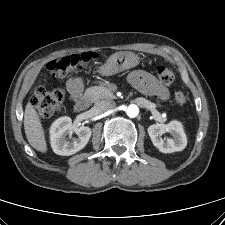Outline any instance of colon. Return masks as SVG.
<instances>
[{
	"label": "colon",
	"instance_id": "1",
	"mask_svg": "<svg viewBox=\"0 0 225 225\" xmlns=\"http://www.w3.org/2000/svg\"><path fill=\"white\" fill-rule=\"evenodd\" d=\"M94 58L95 55L90 52L72 54L50 61L47 64V69L53 76L61 77L70 72L83 70ZM157 74L165 84H170L174 81L173 72L164 66L157 68ZM173 97L179 105H184L188 100V96L182 88H176L173 91ZM64 98L65 91L61 88L48 90L45 87L39 86L34 90L31 103L36 109L38 116L46 119L55 113Z\"/></svg>",
	"mask_w": 225,
	"mask_h": 225
}]
</instances>
